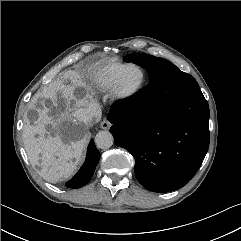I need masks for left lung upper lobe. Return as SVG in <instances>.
<instances>
[{
	"label": "left lung upper lobe",
	"mask_w": 241,
	"mask_h": 241,
	"mask_svg": "<svg viewBox=\"0 0 241 241\" xmlns=\"http://www.w3.org/2000/svg\"><path fill=\"white\" fill-rule=\"evenodd\" d=\"M124 62H133L145 68L150 78L162 76L167 81L170 94L174 99L181 98L192 91L200 90L198 83L191 75L182 72L165 59L148 54L132 53L124 57Z\"/></svg>",
	"instance_id": "5c2ea615"
}]
</instances>
